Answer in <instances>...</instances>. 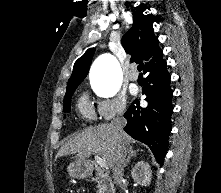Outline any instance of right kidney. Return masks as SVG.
Here are the masks:
<instances>
[{"label": "right kidney", "mask_w": 221, "mask_h": 193, "mask_svg": "<svg viewBox=\"0 0 221 193\" xmlns=\"http://www.w3.org/2000/svg\"><path fill=\"white\" fill-rule=\"evenodd\" d=\"M131 176L134 181L141 186H149L152 177L150 165L145 161H139L131 170Z\"/></svg>", "instance_id": "right-kidney-1"}]
</instances>
